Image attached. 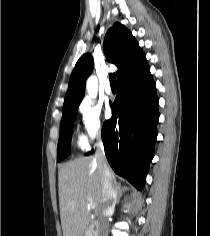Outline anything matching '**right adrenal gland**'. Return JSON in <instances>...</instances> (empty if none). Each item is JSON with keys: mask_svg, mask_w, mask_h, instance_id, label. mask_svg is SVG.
Wrapping results in <instances>:
<instances>
[{"mask_svg": "<svg viewBox=\"0 0 210 236\" xmlns=\"http://www.w3.org/2000/svg\"><path fill=\"white\" fill-rule=\"evenodd\" d=\"M115 188H116V191H117L116 203H118L120 198L122 197L123 193L126 192L128 190V188L126 186H122L121 183H116Z\"/></svg>", "mask_w": 210, "mask_h": 236, "instance_id": "1", "label": "right adrenal gland"}]
</instances>
